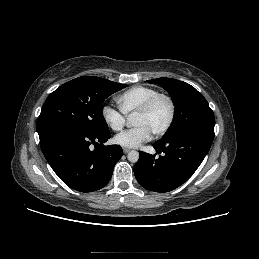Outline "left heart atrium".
<instances>
[{"mask_svg":"<svg viewBox=\"0 0 259 259\" xmlns=\"http://www.w3.org/2000/svg\"><path fill=\"white\" fill-rule=\"evenodd\" d=\"M152 138V132L145 126L139 125L117 134L113 141L125 148H137Z\"/></svg>","mask_w":259,"mask_h":259,"instance_id":"left-heart-atrium-1","label":"left heart atrium"}]
</instances>
